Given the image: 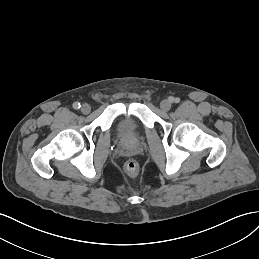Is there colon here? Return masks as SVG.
Returning <instances> with one entry per match:
<instances>
[{
	"label": "colon",
	"mask_w": 259,
	"mask_h": 259,
	"mask_svg": "<svg viewBox=\"0 0 259 259\" xmlns=\"http://www.w3.org/2000/svg\"><path fill=\"white\" fill-rule=\"evenodd\" d=\"M124 169L129 176L135 177L139 173V164L136 160L130 159L125 163Z\"/></svg>",
	"instance_id": "obj_1"
}]
</instances>
